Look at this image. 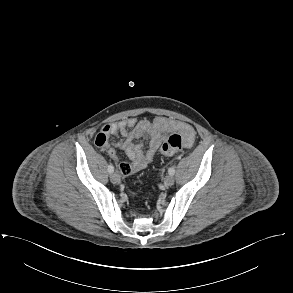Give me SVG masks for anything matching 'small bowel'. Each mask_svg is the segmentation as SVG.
Instances as JSON below:
<instances>
[{
    "label": "small bowel",
    "mask_w": 293,
    "mask_h": 293,
    "mask_svg": "<svg viewBox=\"0 0 293 293\" xmlns=\"http://www.w3.org/2000/svg\"><path fill=\"white\" fill-rule=\"evenodd\" d=\"M170 132L179 133L186 148L192 146L195 131L191 125L161 116L152 121L129 117L107 123L96 135L95 145L106 151L117 162L120 173L126 176L143 170L151 163ZM141 140H147V145L144 146ZM117 150L123 151L130 162L120 161Z\"/></svg>",
    "instance_id": "c3829d8e"
}]
</instances>
